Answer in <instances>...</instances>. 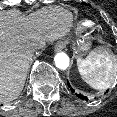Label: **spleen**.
<instances>
[{
	"label": "spleen",
	"instance_id": "spleen-1",
	"mask_svg": "<svg viewBox=\"0 0 117 117\" xmlns=\"http://www.w3.org/2000/svg\"><path fill=\"white\" fill-rule=\"evenodd\" d=\"M82 79L92 88L105 90L117 79V58L111 51H93L85 59H77Z\"/></svg>",
	"mask_w": 117,
	"mask_h": 117
}]
</instances>
